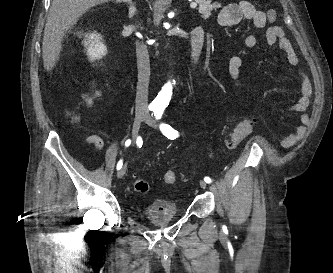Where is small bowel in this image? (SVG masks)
Returning a JSON list of instances; mask_svg holds the SVG:
<instances>
[{
  "label": "small bowel",
  "instance_id": "1",
  "mask_svg": "<svg viewBox=\"0 0 333 273\" xmlns=\"http://www.w3.org/2000/svg\"><path fill=\"white\" fill-rule=\"evenodd\" d=\"M268 16L265 12L256 9L248 1H240L237 3H230L226 5L219 14L218 23L222 27H235L241 23L243 19L249 20L256 28H267L266 40L269 45L278 44L280 49L283 50L287 56L289 63L296 67L297 76L301 84V100L296 105L295 110L303 112L308 103V77L306 73L298 67L299 59L293 50L289 40L285 37L284 31L278 25H271L267 27L265 17ZM258 43V39L254 34H248L244 38V44L247 47H254ZM243 65V58L240 56H234L230 58L228 64V71L232 80L238 87L244 91H248L246 85L242 81L240 70ZM251 119L255 124L254 118ZM302 121H306V117L302 116ZM303 128L300 127L295 135H292L285 141V145H291L295 142L297 137L302 133ZM86 143L88 145H94L97 151H102L105 146L103 138L98 134H92L87 137Z\"/></svg>",
  "mask_w": 333,
  "mask_h": 273
}]
</instances>
